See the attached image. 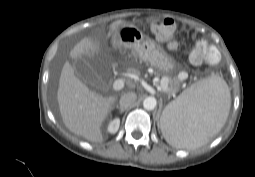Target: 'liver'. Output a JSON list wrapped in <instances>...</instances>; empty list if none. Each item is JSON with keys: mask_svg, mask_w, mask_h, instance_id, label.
<instances>
[{"mask_svg": "<svg viewBox=\"0 0 255 177\" xmlns=\"http://www.w3.org/2000/svg\"><path fill=\"white\" fill-rule=\"evenodd\" d=\"M126 22L118 20L110 24V34L116 33ZM101 43L90 37L82 39L70 52L75 59L86 55L93 57L101 51ZM116 96L103 97L89 90L74 74L69 62L62 68L57 91V101L63 123L73 133L91 142H102L101 126L113 109Z\"/></svg>", "mask_w": 255, "mask_h": 177, "instance_id": "obj_1", "label": "liver"}]
</instances>
